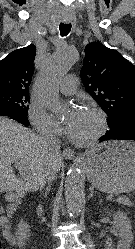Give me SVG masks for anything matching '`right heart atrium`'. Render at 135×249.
<instances>
[{
  "mask_svg": "<svg viewBox=\"0 0 135 249\" xmlns=\"http://www.w3.org/2000/svg\"><path fill=\"white\" fill-rule=\"evenodd\" d=\"M28 119L40 134L50 136H60L62 134V128L52 119L45 107L38 101H33L30 104Z\"/></svg>",
  "mask_w": 135,
  "mask_h": 249,
  "instance_id": "d8ad5b80",
  "label": "right heart atrium"
}]
</instances>
